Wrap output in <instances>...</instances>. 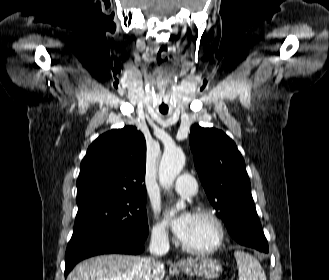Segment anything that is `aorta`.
I'll return each instance as SVG.
<instances>
[{"instance_id":"obj_1","label":"aorta","mask_w":329,"mask_h":280,"mask_svg":"<svg viewBox=\"0 0 329 280\" xmlns=\"http://www.w3.org/2000/svg\"><path fill=\"white\" fill-rule=\"evenodd\" d=\"M184 165L185 155L180 149L176 147L165 149L158 171L160 185L163 188H170ZM185 207L186 204L183 201L178 202L171 214L174 215L176 211L182 210Z\"/></svg>"}]
</instances>
